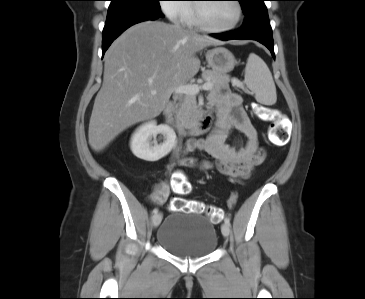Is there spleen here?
<instances>
[{
    "label": "spleen",
    "mask_w": 365,
    "mask_h": 299,
    "mask_svg": "<svg viewBox=\"0 0 365 299\" xmlns=\"http://www.w3.org/2000/svg\"><path fill=\"white\" fill-rule=\"evenodd\" d=\"M244 82L255 93L257 102L264 105L276 103V87L272 74L263 59L255 53L248 57Z\"/></svg>",
    "instance_id": "spleen-1"
}]
</instances>
